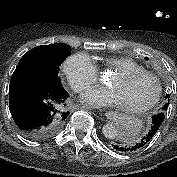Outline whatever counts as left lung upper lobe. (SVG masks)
Here are the masks:
<instances>
[{
  "label": "left lung upper lobe",
  "mask_w": 177,
  "mask_h": 177,
  "mask_svg": "<svg viewBox=\"0 0 177 177\" xmlns=\"http://www.w3.org/2000/svg\"><path fill=\"white\" fill-rule=\"evenodd\" d=\"M168 107V104H165L164 107L162 108V111H165Z\"/></svg>",
  "instance_id": "1"
}]
</instances>
